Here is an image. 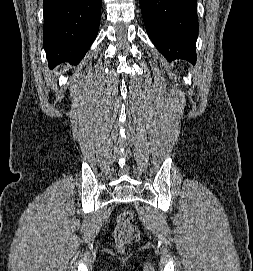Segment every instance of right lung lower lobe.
<instances>
[{
  "label": "right lung lower lobe",
  "instance_id": "1",
  "mask_svg": "<svg viewBox=\"0 0 253 271\" xmlns=\"http://www.w3.org/2000/svg\"><path fill=\"white\" fill-rule=\"evenodd\" d=\"M102 0H43L48 65L78 64L98 34Z\"/></svg>",
  "mask_w": 253,
  "mask_h": 271
}]
</instances>
